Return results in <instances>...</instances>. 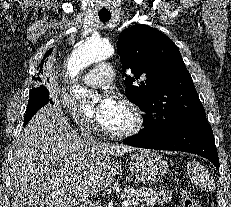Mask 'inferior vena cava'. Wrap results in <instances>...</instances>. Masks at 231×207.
<instances>
[{
	"instance_id": "inferior-vena-cava-1",
	"label": "inferior vena cava",
	"mask_w": 231,
	"mask_h": 207,
	"mask_svg": "<svg viewBox=\"0 0 231 207\" xmlns=\"http://www.w3.org/2000/svg\"><path fill=\"white\" fill-rule=\"evenodd\" d=\"M81 130V136L83 139V142L86 145H95L96 142L92 136V128L90 122L86 121L83 126L80 127Z\"/></svg>"
}]
</instances>
